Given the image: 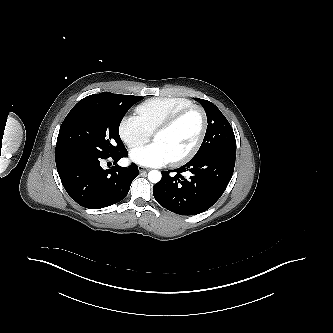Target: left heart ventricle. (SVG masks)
Listing matches in <instances>:
<instances>
[{
	"label": "left heart ventricle",
	"mask_w": 333,
	"mask_h": 333,
	"mask_svg": "<svg viewBox=\"0 0 333 333\" xmlns=\"http://www.w3.org/2000/svg\"><path fill=\"white\" fill-rule=\"evenodd\" d=\"M201 129V116L193 111L170 130L154 137L172 159L188 151L195 143Z\"/></svg>",
	"instance_id": "1"
}]
</instances>
